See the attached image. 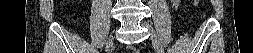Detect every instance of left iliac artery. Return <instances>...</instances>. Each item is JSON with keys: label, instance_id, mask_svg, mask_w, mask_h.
Here are the masks:
<instances>
[{"label": "left iliac artery", "instance_id": "44dca946", "mask_svg": "<svg viewBox=\"0 0 253 53\" xmlns=\"http://www.w3.org/2000/svg\"><path fill=\"white\" fill-rule=\"evenodd\" d=\"M158 51H161V48H158Z\"/></svg>", "mask_w": 253, "mask_h": 53}]
</instances>
